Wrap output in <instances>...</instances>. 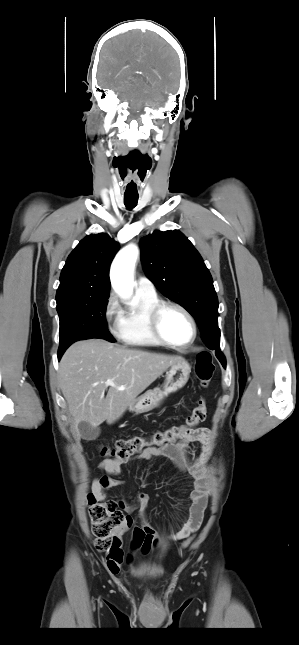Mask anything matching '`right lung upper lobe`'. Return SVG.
<instances>
[{
	"label": "right lung upper lobe",
	"mask_w": 299,
	"mask_h": 645,
	"mask_svg": "<svg viewBox=\"0 0 299 645\" xmlns=\"http://www.w3.org/2000/svg\"><path fill=\"white\" fill-rule=\"evenodd\" d=\"M118 249L119 243L105 233L81 240L61 271L57 304L72 297L109 294V268Z\"/></svg>",
	"instance_id": "1"
}]
</instances>
